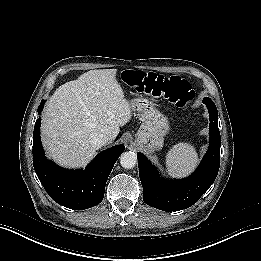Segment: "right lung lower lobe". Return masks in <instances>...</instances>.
I'll list each match as a JSON object with an SVG mask.
<instances>
[{
	"instance_id": "1",
	"label": "right lung lower lobe",
	"mask_w": 261,
	"mask_h": 261,
	"mask_svg": "<svg viewBox=\"0 0 261 261\" xmlns=\"http://www.w3.org/2000/svg\"><path fill=\"white\" fill-rule=\"evenodd\" d=\"M41 102L38 112L43 108ZM41 119H37L33 133V165L35 172L49 196L62 206L83 210L99 204L112 168L123 153L124 145L101 152L85 170H65L44 155L41 139Z\"/></svg>"
}]
</instances>
